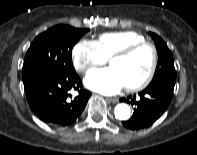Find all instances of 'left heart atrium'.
<instances>
[{
	"instance_id": "obj_1",
	"label": "left heart atrium",
	"mask_w": 197,
	"mask_h": 155,
	"mask_svg": "<svg viewBox=\"0 0 197 155\" xmlns=\"http://www.w3.org/2000/svg\"><path fill=\"white\" fill-rule=\"evenodd\" d=\"M84 82L88 88L107 95L115 94L125 86L119 72L112 66L90 71Z\"/></svg>"
}]
</instances>
